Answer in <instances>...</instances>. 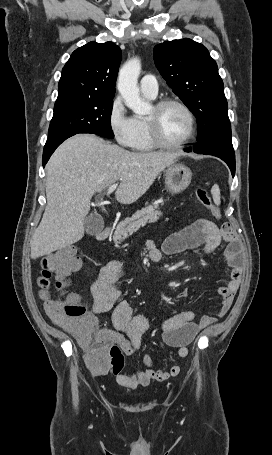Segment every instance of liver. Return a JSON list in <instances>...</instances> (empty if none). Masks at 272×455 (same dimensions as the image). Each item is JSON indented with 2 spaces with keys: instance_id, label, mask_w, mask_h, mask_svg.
I'll use <instances>...</instances> for the list:
<instances>
[{
  "instance_id": "6515ba94",
  "label": "liver",
  "mask_w": 272,
  "mask_h": 455,
  "mask_svg": "<svg viewBox=\"0 0 272 455\" xmlns=\"http://www.w3.org/2000/svg\"><path fill=\"white\" fill-rule=\"evenodd\" d=\"M178 156L167 152H130L91 134L66 140L46 165L47 205L32 236L31 258L50 254L83 238L84 221L94 194L120 180L116 200L132 204Z\"/></svg>"
}]
</instances>
